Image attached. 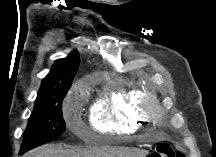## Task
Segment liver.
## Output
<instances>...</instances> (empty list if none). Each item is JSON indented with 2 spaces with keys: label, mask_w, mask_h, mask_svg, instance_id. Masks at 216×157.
<instances>
[{
  "label": "liver",
  "mask_w": 216,
  "mask_h": 157,
  "mask_svg": "<svg viewBox=\"0 0 216 157\" xmlns=\"http://www.w3.org/2000/svg\"><path fill=\"white\" fill-rule=\"evenodd\" d=\"M148 151L121 147H94L64 149L60 145H44L26 154V157H146Z\"/></svg>",
  "instance_id": "liver-1"
}]
</instances>
